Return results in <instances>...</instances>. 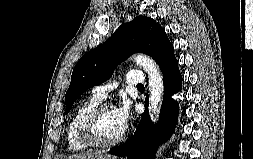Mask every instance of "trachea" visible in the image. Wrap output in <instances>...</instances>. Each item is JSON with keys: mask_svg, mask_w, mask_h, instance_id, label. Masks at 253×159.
I'll list each match as a JSON object with an SVG mask.
<instances>
[{"mask_svg": "<svg viewBox=\"0 0 253 159\" xmlns=\"http://www.w3.org/2000/svg\"><path fill=\"white\" fill-rule=\"evenodd\" d=\"M138 88H144V86L141 84V85H138L137 86Z\"/></svg>", "mask_w": 253, "mask_h": 159, "instance_id": "3493384b", "label": "trachea"}]
</instances>
